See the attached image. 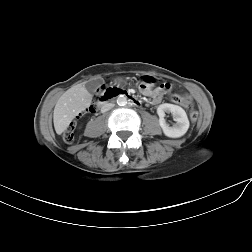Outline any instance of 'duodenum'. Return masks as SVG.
<instances>
[{"label": "duodenum", "instance_id": "1", "mask_svg": "<svg viewBox=\"0 0 252 252\" xmlns=\"http://www.w3.org/2000/svg\"><path fill=\"white\" fill-rule=\"evenodd\" d=\"M119 95L125 96L133 106H136V107L140 106V101L137 98H135L134 96H132L128 92L121 90V89L111 95L100 98L99 106L101 108L104 107L107 104L108 100L113 99Z\"/></svg>", "mask_w": 252, "mask_h": 252}]
</instances>
